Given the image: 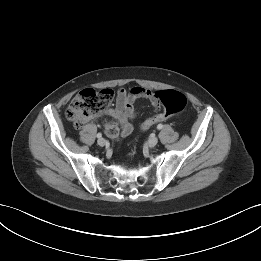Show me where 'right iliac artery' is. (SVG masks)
<instances>
[{
    "mask_svg": "<svg viewBox=\"0 0 261 261\" xmlns=\"http://www.w3.org/2000/svg\"><path fill=\"white\" fill-rule=\"evenodd\" d=\"M102 137V134L101 133H98L97 134V138H101Z\"/></svg>",
    "mask_w": 261,
    "mask_h": 261,
    "instance_id": "1",
    "label": "right iliac artery"
}]
</instances>
